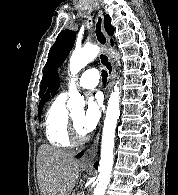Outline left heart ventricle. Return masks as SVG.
Returning a JSON list of instances; mask_svg holds the SVG:
<instances>
[{
	"label": "left heart ventricle",
	"instance_id": "left-heart-ventricle-1",
	"mask_svg": "<svg viewBox=\"0 0 178 195\" xmlns=\"http://www.w3.org/2000/svg\"><path fill=\"white\" fill-rule=\"evenodd\" d=\"M82 117H83V113L82 112L77 113V114L73 115V121H74V123L76 125L77 131L79 132V134L85 135L83 133V131L81 130V127H80V123H81Z\"/></svg>",
	"mask_w": 178,
	"mask_h": 195
}]
</instances>
